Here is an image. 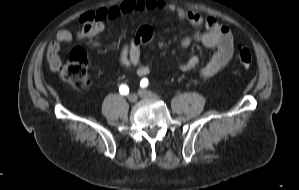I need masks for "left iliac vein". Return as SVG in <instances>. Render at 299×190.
Wrapping results in <instances>:
<instances>
[{
	"label": "left iliac vein",
	"mask_w": 299,
	"mask_h": 190,
	"mask_svg": "<svg viewBox=\"0 0 299 190\" xmlns=\"http://www.w3.org/2000/svg\"><path fill=\"white\" fill-rule=\"evenodd\" d=\"M138 94L142 98H150V99H158V100L160 99L156 94L145 89L139 90Z\"/></svg>",
	"instance_id": "1"
}]
</instances>
